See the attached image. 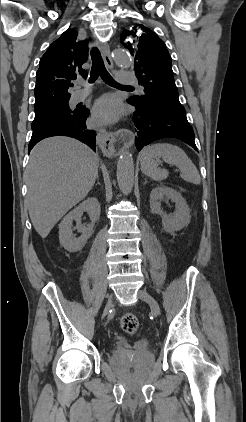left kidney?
Segmentation results:
<instances>
[{
    "label": "left kidney",
    "mask_w": 246,
    "mask_h": 422,
    "mask_svg": "<svg viewBox=\"0 0 246 422\" xmlns=\"http://www.w3.org/2000/svg\"><path fill=\"white\" fill-rule=\"evenodd\" d=\"M168 198L175 203V211L166 214L161 209V201ZM150 209L153 214H158L162 218L163 229L168 233H173L183 229L190 223V208L180 193L170 187L157 186L150 193Z\"/></svg>",
    "instance_id": "1"
}]
</instances>
